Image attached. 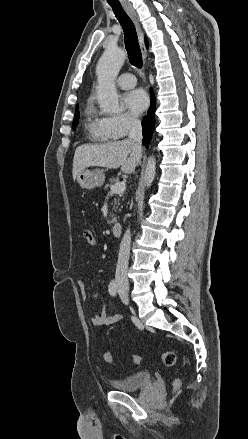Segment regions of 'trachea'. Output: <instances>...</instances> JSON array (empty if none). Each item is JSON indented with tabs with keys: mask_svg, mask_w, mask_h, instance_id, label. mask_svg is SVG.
I'll return each mask as SVG.
<instances>
[{
	"mask_svg": "<svg viewBox=\"0 0 248 439\" xmlns=\"http://www.w3.org/2000/svg\"><path fill=\"white\" fill-rule=\"evenodd\" d=\"M111 7L124 31L125 47L128 53L129 61L133 66L137 68H141L142 53L138 43V37H137L135 25L130 19V17L125 13L121 5L111 4Z\"/></svg>",
	"mask_w": 248,
	"mask_h": 439,
	"instance_id": "obj_1",
	"label": "trachea"
}]
</instances>
